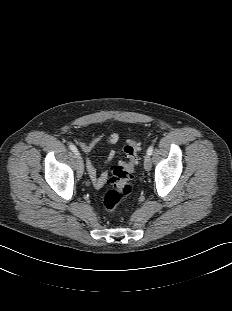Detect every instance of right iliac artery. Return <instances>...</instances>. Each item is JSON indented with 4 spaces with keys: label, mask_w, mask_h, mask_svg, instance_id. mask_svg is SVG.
Masks as SVG:
<instances>
[{
    "label": "right iliac artery",
    "mask_w": 232,
    "mask_h": 311,
    "mask_svg": "<svg viewBox=\"0 0 232 311\" xmlns=\"http://www.w3.org/2000/svg\"><path fill=\"white\" fill-rule=\"evenodd\" d=\"M69 148H70V150H72V152H74L76 155L79 154L77 148L75 147V145H73V144L70 143V144H69Z\"/></svg>",
    "instance_id": "82829eb1"
}]
</instances>
